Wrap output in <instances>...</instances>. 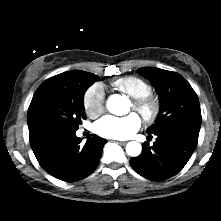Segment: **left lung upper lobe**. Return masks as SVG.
<instances>
[{
    "label": "left lung upper lobe",
    "instance_id": "1",
    "mask_svg": "<svg viewBox=\"0 0 221 221\" xmlns=\"http://www.w3.org/2000/svg\"><path fill=\"white\" fill-rule=\"evenodd\" d=\"M137 72L152 82L160 99V112L147 132L153 133L175 123L201 127L198 97L180 74L155 67H142Z\"/></svg>",
    "mask_w": 221,
    "mask_h": 221
}]
</instances>
